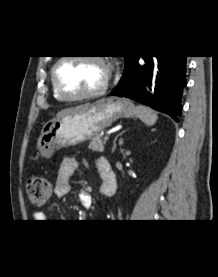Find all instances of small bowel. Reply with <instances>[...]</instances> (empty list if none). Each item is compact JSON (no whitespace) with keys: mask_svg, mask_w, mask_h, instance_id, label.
Wrapping results in <instances>:
<instances>
[{"mask_svg":"<svg viewBox=\"0 0 218 277\" xmlns=\"http://www.w3.org/2000/svg\"><path fill=\"white\" fill-rule=\"evenodd\" d=\"M98 162H99V159L96 161V168L101 178V171L99 170ZM78 167H79V163L76 159L65 158L61 161L57 170L56 180H55L54 193L56 196L62 197L67 195L70 192L71 177ZM111 170H112V167H111ZM113 175H114V172H113ZM114 178H115V175H114ZM101 181H102V178H101ZM114 191H115V180L109 181L105 185H103V182H102V188H101L102 195L104 196L111 195L114 193ZM79 200L82 206L85 208H90L93 204V199L91 194L85 190H81L79 192ZM34 218L36 222H45V220L51 219V217L45 214L44 212H36L34 214Z\"/></svg>","mask_w":218,"mask_h":277,"instance_id":"1","label":"small bowel"}]
</instances>
